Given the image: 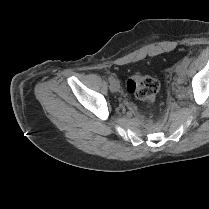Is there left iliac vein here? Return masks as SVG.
Segmentation results:
<instances>
[{
	"label": "left iliac vein",
	"instance_id": "4c4485c4",
	"mask_svg": "<svg viewBox=\"0 0 209 209\" xmlns=\"http://www.w3.org/2000/svg\"><path fill=\"white\" fill-rule=\"evenodd\" d=\"M185 69H186V65L183 61L179 62L175 68V71L176 73L178 74L179 76V80L178 82L181 83L182 80H181V77L183 76L184 72H185Z\"/></svg>",
	"mask_w": 209,
	"mask_h": 209
}]
</instances>
